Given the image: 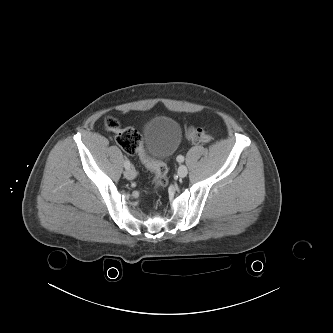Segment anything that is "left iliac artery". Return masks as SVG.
<instances>
[{"mask_svg": "<svg viewBox=\"0 0 333 333\" xmlns=\"http://www.w3.org/2000/svg\"><path fill=\"white\" fill-rule=\"evenodd\" d=\"M176 160H177L179 163H181V162L184 161V156H182V155H178L177 158H176Z\"/></svg>", "mask_w": 333, "mask_h": 333, "instance_id": "obj_1", "label": "left iliac artery"}]
</instances>
